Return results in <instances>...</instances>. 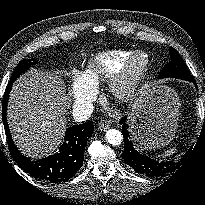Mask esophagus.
I'll return each instance as SVG.
<instances>
[{
	"mask_svg": "<svg viewBox=\"0 0 205 205\" xmlns=\"http://www.w3.org/2000/svg\"><path fill=\"white\" fill-rule=\"evenodd\" d=\"M110 128V125H109V123H104V122H101V123H99V129L100 130H103V131H105V130H107V129H109Z\"/></svg>",
	"mask_w": 205,
	"mask_h": 205,
	"instance_id": "obj_1",
	"label": "esophagus"
}]
</instances>
